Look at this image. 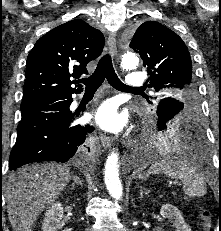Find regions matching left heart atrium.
Returning <instances> with one entry per match:
<instances>
[{"label":"left heart atrium","mask_w":221,"mask_h":231,"mask_svg":"<svg viewBox=\"0 0 221 231\" xmlns=\"http://www.w3.org/2000/svg\"><path fill=\"white\" fill-rule=\"evenodd\" d=\"M97 124L107 131H119L126 123L124 114L118 113L117 106L112 101L103 103L95 114Z\"/></svg>","instance_id":"39dd6f15"}]
</instances>
